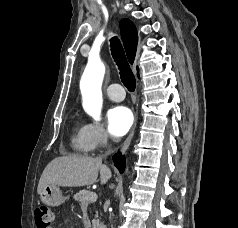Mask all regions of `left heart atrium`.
<instances>
[{
    "instance_id": "1",
    "label": "left heart atrium",
    "mask_w": 238,
    "mask_h": 228,
    "mask_svg": "<svg viewBox=\"0 0 238 228\" xmlns=\"http://www.w3.org/2000/svg\"><path fill=\"white\" fill-rule=\"evenodd\" d=\"M108 129L113 136L120 137L127 133L133 124V114L125 106H116L107 114Z\"/></svg>"
}]
</instances>
